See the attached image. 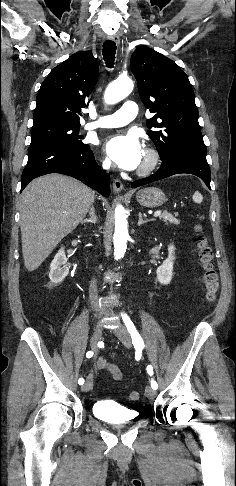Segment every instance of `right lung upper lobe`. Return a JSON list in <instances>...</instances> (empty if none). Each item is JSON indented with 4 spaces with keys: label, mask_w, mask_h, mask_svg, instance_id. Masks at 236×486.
I'll use <instances>...</instances> for the list:
<instances>
[{
    "label": "right lung upper lobe",
    "mask_w": 236,
    "mask_h": 486,
    "mask_svg": "<svg viewBox=\"0 0 236 486\" xmlns=\"http://www.w3.org/2000/svg\"><path fill=\"white\" fill-rule=\"evenodd\" d=\"M98 65L90 51H81L56 66L39 89L33 126L80 124L81 108L97 82Z\"/></svg>",
    "instance_id": "1"
}]
</instances>
